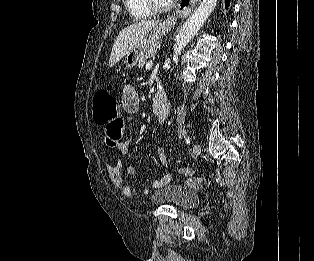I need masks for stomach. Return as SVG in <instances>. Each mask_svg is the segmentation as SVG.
<instances>
[{
	"label": "stomach",
	"mask_w": 314,
	"mask_h": 261,
	"mask_svg": "<svg viewBox=\"0 0 314 261\" xmlns=\"http://www.w3.org/2000/svg\"><path fill=\"white\" fill-rule=\"evenodd\" d=\"M168 30V22H164L147 34L144 39L125 56L124 64L126 67H134L143 53L155 45L156 42L160 41V39L166 35Z\"/></svg>",
	"instance_id": "obj_1"
}]
</instances>
